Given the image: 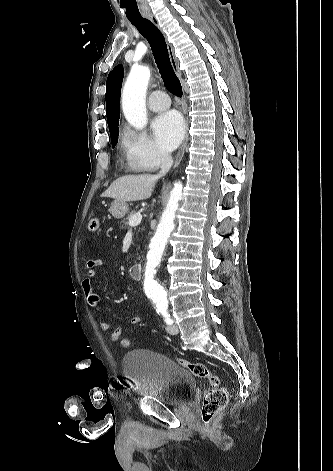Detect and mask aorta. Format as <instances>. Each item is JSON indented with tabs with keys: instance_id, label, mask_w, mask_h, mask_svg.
I'll list each match as a JSON object with an SVG mask.
<instances>
[{
	"instance_id": "1",
	"label": "aorta",
	"mask_w": 333,
	"mask_h": 471,
	"mask_svg": "<svg viewBox=\"0 0 333 471\" xmlns=\"http://www.w3.org/2000/svg\"><path fill=\"white\" fill-rule=\"evenodd\" d=\"M150 76L149 67L133 66L123 88V113L128 123L136 129L144 128L148 121L145 99ZM182 187L180 181L174 184L146 256L144 287L149 297L160 309H166L168 306L167 292L154 279V274L175 227V213L182 197Z\"/></svg>"
}]
</instances>
